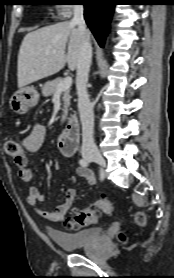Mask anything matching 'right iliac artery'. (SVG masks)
Returning <instances> with one entry per match:
<instances>
[{"label": "right iliac artery", "mask_w": 174, "mask_h": 278, "mask_svg": "<svg viewBox=\"0 0 174 278\" xmlns=\"http://www.w3.org/2000/svg\"><path fill=\"white\" fill-rule=\"evenodd\" d=\"M79 164L83 167H87L89 165V161L87 159H81L79 161ZM103 176H104L103 173H101V179L103 178Z\"/></svg>", "instance_id": "right-iliac-artery-1"}]
</instances>
